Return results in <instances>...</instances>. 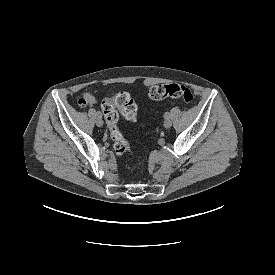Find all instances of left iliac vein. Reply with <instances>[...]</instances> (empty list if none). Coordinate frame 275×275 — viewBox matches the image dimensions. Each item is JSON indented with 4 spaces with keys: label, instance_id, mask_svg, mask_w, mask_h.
Listing matches in <instances>:
<instances>
[{
    "label": "left iliac vein",
    "instance_id": "left-iliac-vein-1",
    "mask_svg": "<svg viewBox=\"0 0 275 275\" xmlns=\"http://www.w3.org/2000/svg\"><path fill=\"white\" fill-rule=\"evenodd\" d=\"M164 127L165 128H170L171 126H172V122H171V120H169V119H166L165 121H164Z\"/></svg>",
    "mask_w": 275,
    "mask_h": 275
}]
</instances>
